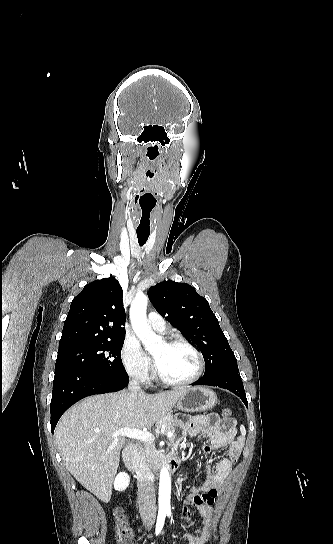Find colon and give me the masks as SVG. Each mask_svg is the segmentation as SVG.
<instances>
[{
	"label": "colon",
	"mask_w": 333,
	"mask_h": 544,
	"mask_svg": "<svg viewBox=\"0 0 333 544\" xmlns=\"http://www.w3.org/2000/svg\"><path fill=\"white\" fill-rule=\"evenodd\" d=\"M221 414L224 419L230 420L233 411L231 408H224ZM114 516L118 543L131 544L132 534L123 511L120 508H116L114 511Z\"/></svg>",
	"instance_id": "5ec220e1"
}]
</instances>
